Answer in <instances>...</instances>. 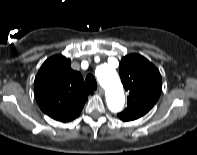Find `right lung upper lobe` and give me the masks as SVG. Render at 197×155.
<instances>
[{"label":"right lung upper lobe","instance_id":"obj_1","mask_svg":"<svg viewBox=\"0 0 197 155\" xmlns=\"http://www.w3.org/2000/svg\"><path fill=\"white\" fill-rule=\"evenodd\" d=\"M34 93L41 110L51 118L69 122L81 112L89 94L82 75L61 55L47 59L35 78Z\"/></svg>","mask_w":197,"mask_h":155}]
</instances>
